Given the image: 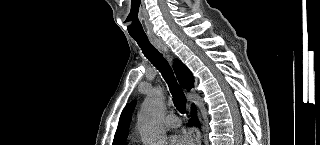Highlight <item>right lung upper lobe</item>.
Segmentation results:
<instances>
[{"mask_svg":"<svg viewBox=\"0 0 320 145\" xmlns=\"http://www.w3.org/2000/svg\"><path fill=\"white\" fill-rule=\"evenodd\" d=\"M173 69L176 73V77L179 83L188 90L191 89L194 85V79L191 71L178 59L174 60ZM134 106L135 101H132L122 111L113 145H122L127 138V131L132 118V111L134 109Z\"/></svg>","mask_w":320,"mask_h":145,"instance_id":"right-lung-upper-lobe-1","label":"right lung upper lobe"}]
</instances>
